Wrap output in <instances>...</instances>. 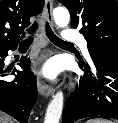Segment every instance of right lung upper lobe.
<instances>
[{
	"mask_svg": "<svg viewBox=\"0 0 118 123\" xmlns=\"http://www.w3.org/2000/svg\"><path fill=\"white\" fill-rule=\"evenodd\" d=\"M43 6L44 0H0V50L18 45L30 18Z\"/></svg>",
	"mask_w": 118,
	"mask_h": 123,
	"instance_id": "right-lung-upper-lobe-1",
	"label": "right lung upper lobe"
}]
</instances>
